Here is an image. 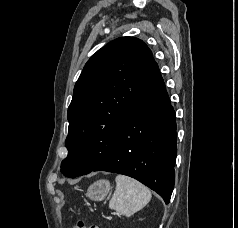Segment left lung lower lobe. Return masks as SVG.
I'll use <instances>...</instances> for the list:
<instances>
[{
	"label": "left lung lower lobe",
	"mask_w": 238,
	"mask_h": 228,
	"mask_svg": "<svg viewBox=\"0 0 238 228\" xmlns=\"http://www.w3.org/2000/svg\"><path fill=\"white\" fill-rule=\"evenodd\" d=\"M176 138L175 112L155 64L118 133L113 153L90 172L107 171L135 178L156 191L167 204L175 181Z\"/></svg>",
	"instance_id": "1"
}]
</instances>
